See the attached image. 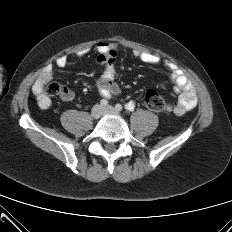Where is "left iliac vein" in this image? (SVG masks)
Masks as SVG:
<instances>
[{
	"mask_svg": "<svg viewBox=\"0 0 232 232\" xmlns=\"http://www.w3.org/2000/svg\"><path fill=\"white\" fill-rule=\"evenodd\" d=\"M103 114L119 116V112L112 106H106L103 108Z\"/></svg>",
	"mask_w": 232,
	"mask_h": 232,
	"instance_id": "obj_1",
	"label": "left iliac vein"
}]
</instances>
